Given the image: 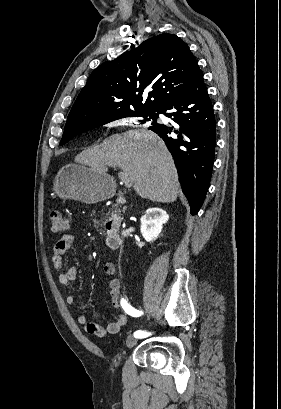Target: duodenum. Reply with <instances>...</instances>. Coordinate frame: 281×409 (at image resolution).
Here are the masks:
<instances>
[{"instance_id": "duodenum-1", "label": "duodenum", "mask_w": 281, "mask_h": 409, "mask_svg": "<svg viewBox=\"0 0 281 409\" xmlns=\"http://www.w3.org/2000/svg\"><path fill=\"white\" fill-rule=\"evenodd\" d=\"M116 195L114 196V201L116 203H123L125 201V188L123 186H118L116 188ZM106 238L108 241V246L111 249H119L121 247V236L119 232L112 230L110 225L106 227Z\"/></svg>"}]
</instances>
